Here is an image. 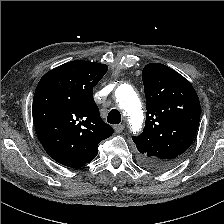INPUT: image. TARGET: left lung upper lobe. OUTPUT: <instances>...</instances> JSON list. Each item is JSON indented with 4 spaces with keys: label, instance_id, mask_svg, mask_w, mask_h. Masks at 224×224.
Returning <instances> with one entry per match:
<instances>
[{
    "label": "left lung upper lobe",
    "instance_id": "5c2ea615",
    "mask_svg": "<svg viewBox=\"0 0 224 224\" xmlns=\"http://www.w3.org/2000/svg\"><path fill=\"white\" fill-rule=\"evenodd\" d=\"M147 115L143 132L132 139L141 163L153 170L172 168L192 144L200 102L188 80L175 70L150 63L142 71Z\"/></svg>",
    "mask_w": 224,
    "mask_h": 224
}]
</instances>
